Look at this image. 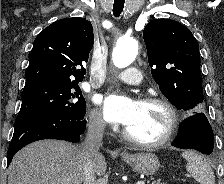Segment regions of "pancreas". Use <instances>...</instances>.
Masks as SVG:
<instances>
[{"label":"pancreas","instance_id":"pancreas-1","mask_svg":"<svg viewBox=\"0 0 224 184\" xmlns=\"http://www.w3.org/2000/svg\"><path fill=\"white\" fill-rule=\"evenodd\" d=\"M151 184H165V183H160L159 181H153Z\"/></svg>","mask_w":224,"mask_h":184}]
</instances>
